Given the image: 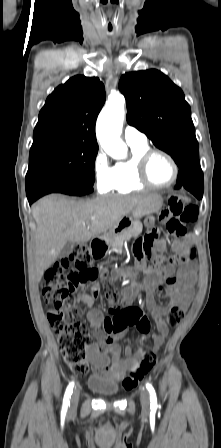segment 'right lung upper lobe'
<instances>
[{
    "label": "right lung upper lobe",
    "mask_w": 221,
    "mask_h": 448,
    "mask_svg": "<svg viewBox=\"0 0 221 448\" xmlns=\"http://www.w3.org/2000/svg\"><path fill=\"white\" fill-rule=\"evenodd\" d=\"M105 102L103 83L77 75L58 86L39 113L32 147L82 142L97 144L95 122Z\"/></svg>",
    "instance_id": "obj_1"
}]
</instances>
